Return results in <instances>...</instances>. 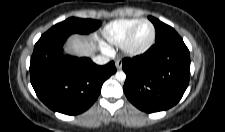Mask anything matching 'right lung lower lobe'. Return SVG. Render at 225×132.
<instances>
[{
	"label": "right lung lower lobe",
	"mask_w": 225,
	"mask_h": 132,
	"mask_svg": "<svg viewBox=\"0 0 225 132\" xmlns=\"http://www.w3.org/2000/svg\"><path fill=\"white\" fill-rule=\"evenodd\" d=\"M69 35L44 34L30 62L31 84L51 110L67 115L86 111L98 98L103 82L116 72L114 62L98 66L89 58L63 56Z\"/></svg>",
	"instance_id": "right-lung-lower-lobe-1"
}]
</instances>
